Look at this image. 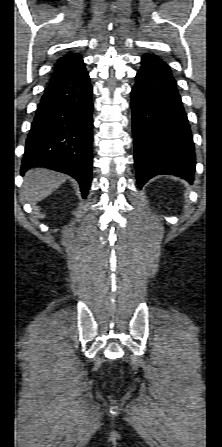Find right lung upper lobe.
I'll return each instance as SVG.
<instances>
[{
    "mask_svg": "<svg viewBox=\"0 0 222 447\" xmlns=\"http://www.w3.org/2000/svg\"><path fill=\"white\" fill-rule=\"evenodd\" d=\"M82 60L79 54L69 53L60 58L54 66V72L50 79V84L60 80L71 72L73 67Z\"/></svg>",
    "mask_w": 222,
    "mask_h": 447,
    "instance_id": "1",
    "label": "right lung upper lobe"
}]
</instances>
